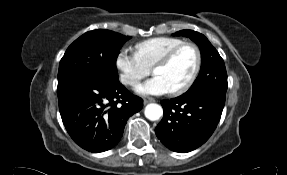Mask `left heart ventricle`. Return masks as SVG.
Wrapping results in <instances>:
<instances>
[{
  "label": "left heart ventricle",
  "instance_id": "left-heart-ventricle-1",
  "mask_svg": "<svg viewBox=\"0 0 287 175\" xmlns=\"http://www.w3.org/2000/svg\"><path fill=\"white\" fill-rule=\"evenodd\" d=\"M195 65V50L192 47H185L168 64L158 67L154 75L161 77L171 91L181 87L188 81Z\"/></svg>",
  "mask_w": 287,
  "mask_h": 175
}]
</instances>
